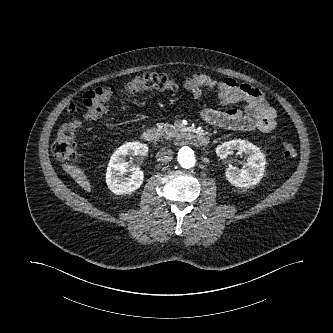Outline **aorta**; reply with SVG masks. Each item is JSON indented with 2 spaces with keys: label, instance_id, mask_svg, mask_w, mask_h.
<instances>
[{
  "label": "aorta",
  "instance_id": "762f6f07",
  "mask_svg": "<svg viewBox=\"0 0 333 333\" xmlns=\"http://www.w3.org/2000/svg\"><path fill=\"white\" fill-rule=\"evenodd\" d=\"M178 163L182 168L190 169L193 168L196 164V158L194 152L191 148L184 146L178 151Z\"/></svg>",
  "mask_w": 333,
  "mask_h": 333
}]
</instances>
